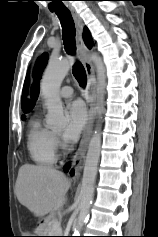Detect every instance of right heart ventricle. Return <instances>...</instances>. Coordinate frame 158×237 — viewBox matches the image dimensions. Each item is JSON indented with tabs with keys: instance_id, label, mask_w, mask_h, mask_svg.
<instances>
[{
	"instance_id": "right-heart-ventricle-1",
	"label": "right heart ventricle",
	"mask_w": 158,
	"mask_h": 237,
	"mask_svg": "<svg viewBox=\"0 0 158 237\" xmlns=\"http://www.w3.org/2000/svg\"><path fill=\"white\" fill-rule=\"evenodd\" d=\"M27 148L32 160L39 165H53L57 159L54 133L37 117L29 123Z\"/></svg>"
}]
</instances>
